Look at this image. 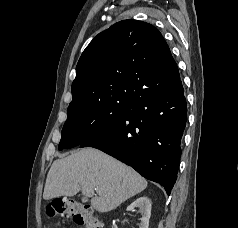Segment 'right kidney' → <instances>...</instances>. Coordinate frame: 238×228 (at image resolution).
<instances>
[{
	"label": "right kidney",
	"mask_w": 238,
	"mask_h": 228,
	"mask_svg": "<svg viewBox=\"0 0 238 228\" xmlns=\"http://www.w3.org/2000/svg\"><path fill=\"white\" fill-rule=\"evenodd\" d=\"M136 207L139 208V211L142 214V217L140 219L141 222L139 224V228H148L149 219H150V216H151V201H150V199H148L145 196L139 197L138 199H136L133 203H131L127 207V211H132Z\"/></svg>",
	"instance_id": "ca27d5eb"
}]
</instances>
